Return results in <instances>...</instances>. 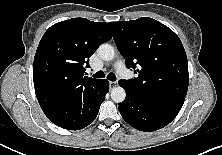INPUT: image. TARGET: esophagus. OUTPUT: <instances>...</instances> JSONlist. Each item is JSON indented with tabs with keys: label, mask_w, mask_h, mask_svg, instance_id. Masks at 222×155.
<instances>
[{
	"label": "esophagus",
	"mask_w": 222,
	"mask_h": 155,
	"mask_svg": "<svg viewBox=\"0 0 222 155\" xmlns=\"http://www.w3.org/2000/svg\"><path fill=\"white\" fill-rule=\"evenodd\" d=\"M117 85L116 81H110V87H115Z\"/></svg>",
	"instance_id": "1"
}]
</instances>
